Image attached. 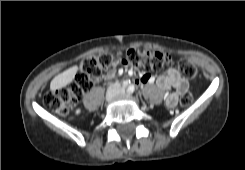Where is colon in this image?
<instances>
[{
  "instance_id": "5ec220e1",
  "label": "colon",
  "mask_w": 245,
  "mask_h": 170,
  "mask_svg": "<svg viewBox=\"0 0 245 170\" xmlns=\"http://www.w3.org/2000/svg\"><path fill=\"white\" fill-rule=\"evenodd\" d=\"M170 63L169 56L164 52L146 51L130 48L124 54H99L83 59L80 70L75 81L68 87L48 91L43 97V103L48 109L66 115L72 109L73 104L82 95L89 91L101 75L103 69L110 66L122 64L130 68H142L145 70H161ZM179 73L188 79L197 76V69L188 59H182L178 63ZM193 100L189 92L180 96V103L184 106L190 105Z\"/></svg>"
}]
</instances>
